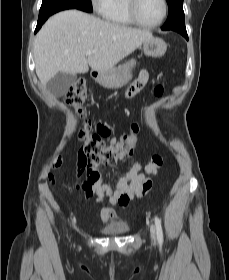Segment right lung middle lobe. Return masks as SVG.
Returning a JSON list of instances; mask_svg holds the SVG:
<instances>
[{"instance_id": "dd1d6c3e", "label": "right lung middle lobe", "mask_w": 229, "mask_h": 280, "mask_svg": "<svg viewBox=\"0 0 229 280\" xmlns=\"http://www.w3.org/2000/svg\"><path fill=\"white\" fill-rule=\"evenodd\" d=\"M65 3L80 6L88 12H92L91 0H42L40 10H44Z\"/></svg>"}]
</instances>
